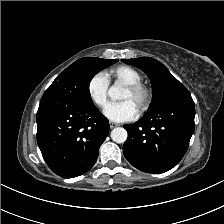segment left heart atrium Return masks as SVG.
I'll return each instance as SVG.
<instances>
[{
	"label": "left heart atrium",
	"mask_w": 224,
	"mask_h": 224,
	"mask_svg": "<svg viewBox=\"0 0 224 224\" xmlns=\"http://www.w3.org/2000/svg\"><path fill=\"white\" fill-rule=\"evenodd\" d=\"M104 115L113 122H126L137 118L138 107L130 100L108 104Z\"/></svg>",
	"instance_id": "left-heart-atrium-1"
}]
</instances>
